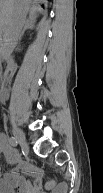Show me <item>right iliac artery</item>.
Wrapping results in <instances>:
<instances>
[{
	"label": "right iliac artery",
	"instance_id": "82829eb1",
	"mask_svg": "<svg viewBox=\"0 0 103 193\" xmlns=\"http://www.w3.org/2000/svg\"><path fill=\"white\" fill-rule=\"evenodd\" d=\"M9 143H10V145L13 146V147H16V146L18 145V142H17V140H16L15 137H10V138H9Z\"/></svg>",
	"mask_w": 103,
	"mask_h": 193
}]
</instances>
